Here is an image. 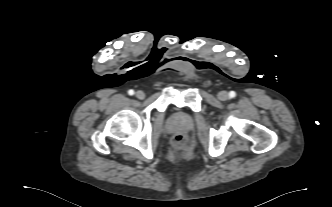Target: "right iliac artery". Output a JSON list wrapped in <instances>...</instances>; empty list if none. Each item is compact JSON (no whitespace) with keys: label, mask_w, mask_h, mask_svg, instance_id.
I'll use <instances>...</instances> for the list:
<instances>
[{"label":"right iliac artery","mask_w":332,"mask_h":207,"mask_svg":"<svg viewBox=\"0 0 332 207\" xmlns=\"http://www.w3.org/2000/svg\"><path fill=\"white\" fill-rule=\"evenodd\" d=\"M128 94H129L130 96L134 95V90H132V89L129 90V91H128Z\"/></svg>","instance_id":"obj_1"}]
</instances>
